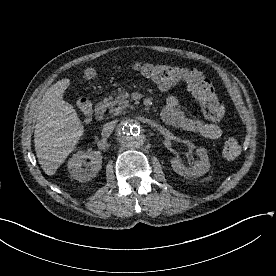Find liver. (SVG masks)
Instances as JSON below:
<instances>
[{"instance_id": "1", "label": "liver", "mask_w": 276, "mask_h": 276, "mask_svg": "<svg viewBox=\"0 0 276 276\" xmlns=\"http://www.w3.org/2000/svg\"><path fill=\"white\" fill-rule=\"evenodd\" d=\"M69 85L68 78L57 81L45 91L36 107L35 151L49 176L56 173L84 134L76 110L63 99Z\"/></svg>"}]
</instances>
